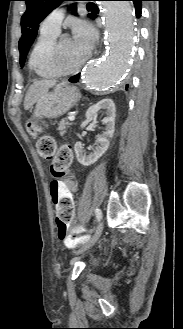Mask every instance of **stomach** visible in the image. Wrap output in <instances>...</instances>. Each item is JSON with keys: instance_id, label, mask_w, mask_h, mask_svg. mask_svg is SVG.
<instances>
[{"instance_id": "stomach-1", "label": "stomach", "mask_w": 183, "mask_h": 329, "mask_svg": "<svg viewBox=\"0 0 183 329\" xmlns=\"http://www.w3.org/2000/svg\"><path fill=\"white\" fill-rule=\"evenodd\" d=\"M76 90L66 84L57 85L50 93H46L36 104L33 118L26 124L29 135L36 138L40 132L38 120L42 118L54 119L69 111L78 101Z\"/></svg>"}]
</instances>
